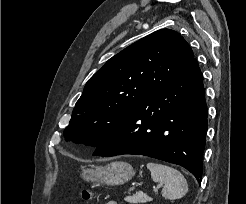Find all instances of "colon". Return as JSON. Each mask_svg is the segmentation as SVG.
<instances>
[{
    "label": "colon",
    "instance_id": "1",
    "mask_svg": "<svg viewBox=\"0 0 246 204\" xmlns=\"http://www.w3.org/2000/svg\"><path fill=\"white\" fill-rule=\"evenodd\" d=\"M91 197H92L91 191H89V190H84V191L82 192V198H83V199L88 200V199H90Z\"/></svg>",
    "mask_w": 246,
    "mask_h": 204
}]
</instances>
